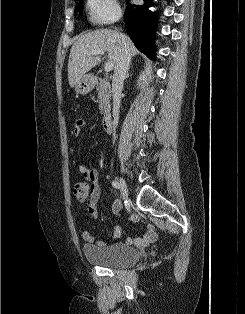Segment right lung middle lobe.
<instances>
[{"label": "right lung middle lobe", "instance_id": "dd1d6c3e", "mask_svg": "<svg viewBox=\"0 0 245 314\" xmlns=\"http://www.w3.org/2000/svg\"><path fill=\"white\" fill-rule=\"evenodd\" d=\"M82 7H83V2L81 1L76 7L75 10L79 11V13H82Z\"/></svg>", "mask_w": 245, "mask_h": 314}]
</instances>
